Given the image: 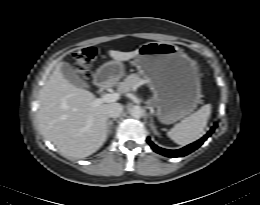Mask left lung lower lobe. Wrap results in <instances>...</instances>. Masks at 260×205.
<instances>
[{
	"label": "left lung lower lobe",
	"mask_w": 260,
	"mask_h": 205,
	"mask_svg": "<svg viewBox=\"0 0 260 205\" xmlns=\"http://www.w3.org/2000/svg\"><path fill=\"white\" fill-rule=\"evenodd\" d=\"M215 127H217V123L214 124L211 130L203 138L179 150H168L160 148L151 142L150 138H147V142L155 152L161 155L167 157H183L201 146V144L213 133Z\"/></svg>",
	"instance_id": "obj_1"
}]
</instances>
